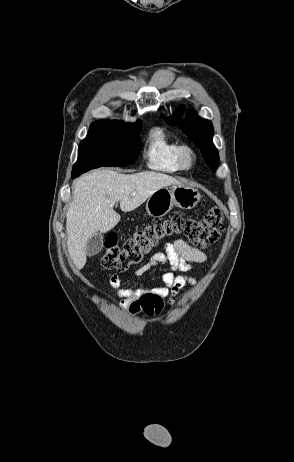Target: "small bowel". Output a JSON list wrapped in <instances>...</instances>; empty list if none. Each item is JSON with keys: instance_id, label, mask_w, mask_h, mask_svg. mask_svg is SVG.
Returning <instances> with one entry per match:
<instances>
[{"instance_id": "1", "label": "small bowel", "mask_w": 294, "mask_h": 462, "mask_svg": "<svg viewBox=\"0 0 294 462\" xmlns=\"http://www.w3.org/2000/svg\"><path fill=\"white\" fill-rule=\"evenodd\" d=\"M206 260V253L189 246L183 240L177 239L171 244H166L163 252L154 254L146 264L134 272L136 276H142L160 265L169 266V270L162 273V281L164 283L162 287L125 289L121 287L120 279L116 274L110 277L109 285L116 291L119 297L123 298L121 306L127 305L130 301L141 297L145 293L168 297V302L173 304L175 296L183 287L187 284L194 285L196 283L193 277L186 274L175 275V272L187 273L192 269V264L204 263Z\"/></svg>"}]
</instances>
